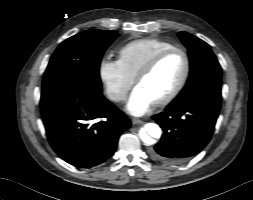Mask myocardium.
<instances>
[{
    "label": "myocardium",
    "mask_w": 253,
    "mask_h": 200,
    "mask_svg": "<svg viewBox=\"0 0 253 200\" xmlns=\"http://www.w3.org/2000/svg\"><path fill=\"white\" fill-rule=\"evenodd\" d=\"M173 53H179L183 56L184 63H185L184 72L180 81L175 86V88L168 95H166L159 101L155 102L156 106H164V105L169 104L181 93V91L185 87L190 75V70H191V62H190V58L187 52L178 47H173V48L164 50L160 52L159 54H157L155 57H153L144 67H142L139 70V72L135 76V83L136 85H138V83L144 77L152 73L166 57H168L169 55Z\"/></svg>",
    "instance_id": "myocardium-1"
}]
</instances>
